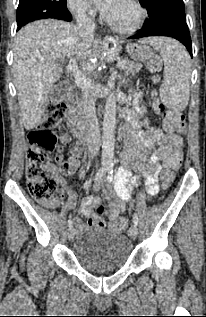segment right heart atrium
<instances>
[{"label":"right heart atrium","instance_id":"obj_1","mask_svg":"<svg viewBox=\"0 0 206 317\" xmlns=\"http://www.w3.org/2000/svg\"><path fill=\"white\" fill-rule=\"evenodd\" d=\"M70 11L77 17L90 18L94 12L86 0H68Z\"/></svg>","mask_w":206,"mask_h":317}]
</instances>
